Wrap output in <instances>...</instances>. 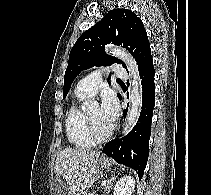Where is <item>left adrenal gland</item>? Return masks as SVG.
Here are the masks:
<instances>
[{
    "label": "left adrenal gland",
    "instance_id": "a2214340",
    "mask_svg": "<svg viewBox=\"0 0 211 195\" xmlns=\"http://www.w3.org/2000/svg\"><path fill=\"white\" fill-rule=\"evenodd\" d=\"M116 180L115 174H113L108 180L104 181V186H105V193H109L110 189L113 186V182Z\"/></svg>",
    "mask_w": 211,
    "mask_h": 195
}]
</instances>
